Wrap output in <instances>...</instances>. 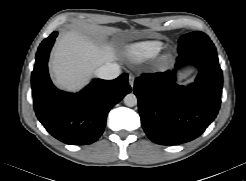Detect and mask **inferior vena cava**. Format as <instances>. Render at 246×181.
<instances>
[{
	"label": "inferior vena cava",
	"mask_w": 246,
	"mask_h": 181,
	"mask_svg": "<svg viewBox=\"0 0 246 181\" xmlns=\"http://www.w3.org/2000/svg\"><path fill=\"white\" fill-rule=\"evenodd\" d=\"M95 75L101 79L112 80L120 75V67L116 63H107L96 69Z\"/></svg>",
	"instance_id": "1"
}]
</instances>
